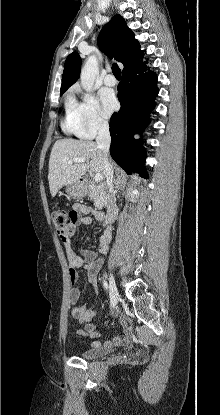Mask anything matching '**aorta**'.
<instances>
[{
    "label": "aorta",
    "mask_w": 220,
    "mask_h": 415,
    "mask_svg": "<svg viewBox=\"0 0 220 415\" xmlns=\"http://www.w3.org/2000/svg\"><path fill=\"white\" fill-rule=\"evenodd\" d=\"M98 73L99 68L97 58L95 56L88 57L81 69L80 80L82 87L91 90Z\"/></svg>",
    "instance_id": "1"
}]
</instances>
